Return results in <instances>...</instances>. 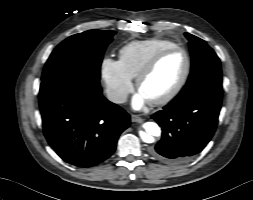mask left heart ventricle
Returning <instances> with one entry per match:
<instances>
[{"label": "left heart ventricle", "mask_w": 253, "mask_h": 200, "mask_svg": "<svg viewBox=\"0 0 253 200\" xmlns=\"http://www.w3.org/2000/svg\"><path fill=\"white\" fill-rule=\"evenodd\" d=\"M186 68L183 53L176 51L165 56L140 84L139 91L151 102L170 93L179 83Z\"/></svg>", "instance_id": "obj_1"}]
</instances>
